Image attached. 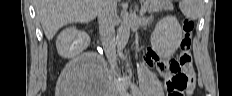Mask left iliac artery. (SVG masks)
<instances>
[{
  "instance_id": "left-iliac-artery-1",
  "label": "left iliac artery",
  "mask_w": 232,
  "mask_h": 96,
  "mask_svg": "<svg viewBox=\"0 0 232 96\" xmlns=\"http://www.w3.org/2000/svg\"><path fill=\"white\" fill-rule=\"evenodd\" d=\"M132 91H133L134 96H141V92L139 91V89L136 86L132 87Z\"/></svg>"
}]
</instances>
